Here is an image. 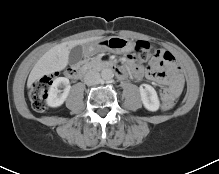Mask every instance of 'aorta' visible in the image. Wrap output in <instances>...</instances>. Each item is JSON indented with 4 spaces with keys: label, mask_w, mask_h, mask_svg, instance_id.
<instances>
[{
    "label": "aorta",
    "mask_w": 219,
    "mask_h": 174,
    "mask_svg": "<svg viewBox=\"0 0 219 174\" xmlns=\"http://www.w3.org/2000/svg\"><path fill=\"white\" fill-rule=\"evenodd\" d=\"M101 77L103 80H111L114 77L112 69L106 68L101 71Z\"/></svg>",
    "instance_id": "aorta-1"
}]
</instances>
